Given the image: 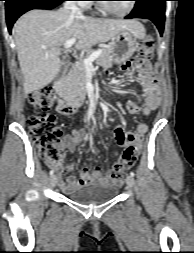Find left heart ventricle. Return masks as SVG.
Returning <instances> with one entry per match:
<instances>
[{
	"instance_id": "obj_1",
	"label": "left heart ventricle",
	"mask_w": 194,
	"mask_h": 253,
	"mask_svg": "<svg viewBox=\"0 0 194 253\" xmlns=\"http://www.w3.org/2000/svg\"><path fill=\"white\" fill-rule=\"evenodd\" d=\"M111 9L115 11H124L128 8L130 2L129 1H109L105 3Z\"/></svg>"
}]
</instances>
